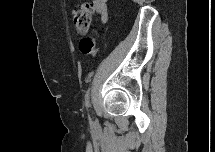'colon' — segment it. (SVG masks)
Instances as JSON below:
<instances>
[{
  "instance_id": "colon-1",
  "label": "colon",
  "mask_w": 215,
  "mask_h": 152,
  "mask_svg": "<svg viewBox=\"0 0 215 152\" xmlns=\"http://www.w3.org/2000/svg\"><path fill=\"white\" fill-rule=\"evenodd\" d=\"M92 5L84 2L80 5L74 15V24L79 33H85L91 22ZM79 49L82 54L94 58L97 54V41L92 37H84L80 40Z\"/></svg>"
}]
</instances>
